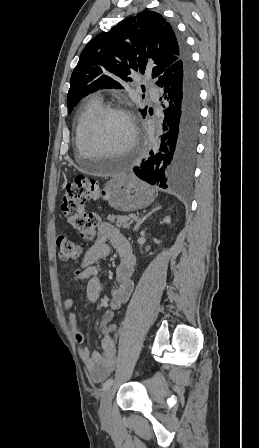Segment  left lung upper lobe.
Listing matches in <instances>:
<instances>
[{
    "mask_svg": "<svg viewBox=\"0 0 259 448\" xmlns=\"http://www.w3.org/2000/svg\"><path fill=\"white\" fill-rule=\"evenodd\" d=\"M182 56V45L173 26L154 11L128 17L108 32L94 37L82 51L68 92V112L78 101L98 89L122 86L118 79L132 81L136 71L152 68L159 77ZM146 114V108L140 110Z\"/></svg>",
    "mask_w": 259,
    "mask_h": 448,
    "instance_id": "5c2ea615",
    "label": "left lung upper lobe"
}]
</instances>
